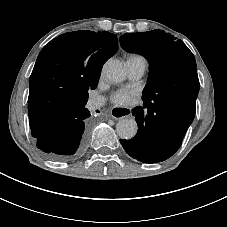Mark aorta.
<instances>
[{"label": "aorta", "instance_id": "obj_1", "mask_svg": "<svg viewBox=\"0 0 227 227\" xmlns=\"http://www.w3.org/2000/svg\"><path fill=\"white\" fill-rule=\"evenodd\" d=\"M103 75L113 83H120L126 77V68L124 64L117 59H108L103 65ZM117 134L122 139H132L138 130L134 119H121L117 123Z\"/></svg>", "mask_w": 227, "mask_h": 227}]
</instances>
